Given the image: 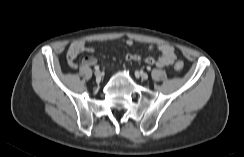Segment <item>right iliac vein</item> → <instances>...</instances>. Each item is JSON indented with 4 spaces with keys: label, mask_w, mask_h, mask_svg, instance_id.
<instances>
[{
    "label": "right iliac vein",
    "mask_w": 244,
    "mask_h": 157,
    "mask_svg": "<svg viewBox=\"0 0 244 157\" xmlns=\"http://www.w3.org/2000/svg\"><path fill=\"white\" fill-rule=\"evenodd\" d=\"M95 77H96L97 80H100L101 77H102L101 72H100V71H96V72H95Z\"/></svg>",
    "instance_id": "right-iliac-vein-1"
}]
</instances>
